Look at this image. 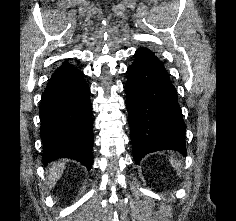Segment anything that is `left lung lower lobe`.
Masks as SVG:
<instances>
[{
	"label": "left lung lower lobe",
	"mask_w": 236,
	"mask_h": 221,
	"mask_svg": "<svg viewBox=\"0 0 236 221\" xmlns=\"http://www.w3.org/2000/svg\"><path fill=\"white\" fill-rule=\"evenodd\" d=\"M127 72L126 106L136 163L161 150L186 155V125L176 89L162 62L149 49L139 48Z\"/></svg>",
	"instance_id": "obj_1"
}]
</instances>
